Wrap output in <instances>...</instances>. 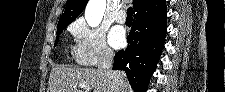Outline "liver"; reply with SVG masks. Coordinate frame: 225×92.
I'll return each mask as SVG.
<instances>
[{
    "mask_svg": "<svg viewBox=\"0 0 225 92\" xmlns=\"http://www.w3.org/2000/svg\"><path fill=\"white\" fill-rule=\"evenodd\" d=\"M119 92H129L126 75L116 71ZM86 84L93 92H111L109 76L99 69L55 67L51 70L47 92H84L74 85Z\"/></svg>",
    "mask_w": 225,
    "mask_h": 92,
    "instance_id": "6515ba94",
    "label": "liver"
}]
</instances>
